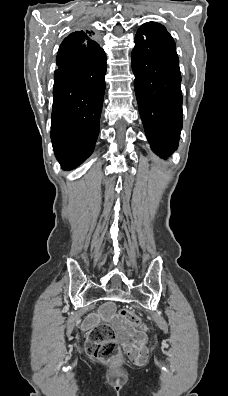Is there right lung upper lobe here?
I'll return each instance as SVG.
<instances>
[{
    "mask_svg": "<svg viewBox=\"0 0 228 396\" xmlns=\"http://www.w3.org/2000/svg\"><path fill=\"white\" fill-rule=\"evenodd\" d=\"M93 35V31L79 30L71 33L68 37H66L63 40L62 44H72L76 50H93V48L97 44L95 41L92 40Z\"/></svg>",
    "mask_w": 228,
    "mask_h": 396,
    "instance_id": "1",
    "label": "right lung upper lobe"
}]
</instances>
